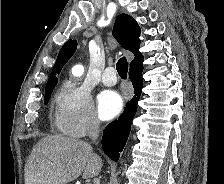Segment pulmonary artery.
<instances>
[{"mask_svg":"<svg viewBox=\"0 0 224 184\" xmlns=\"http://www.w3.org/2000/svg\"><path fill=\"white\" fill-rule=\"evenodd\" d=\"M102 82L106 86H114L117 83L116 70L114 67L105 69L102 75Z\"/></svg>","mask_w":224,"mask_h":184,"instance_id":"pulmonary-artery-1","label":"pulmonary artery"}]
</instances>
